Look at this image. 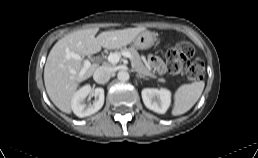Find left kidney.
<instances>
[{
	"mask_svg": "<svg viewBox=\"0 0 258 158\" xmlns=\"http://www.w3.org/2000/svg\"><path fill=\"white\" fill-rule=\"evenodd\" d=\"M145 106L159 114H164L171 104V92L168 89L145 88L141 92Z\"/></svg>",
	"mask_w": 258,
	"mask_h": 158,
	"instance_id": "obj_1",
	"label": "left kidney"
}]
</instances>
